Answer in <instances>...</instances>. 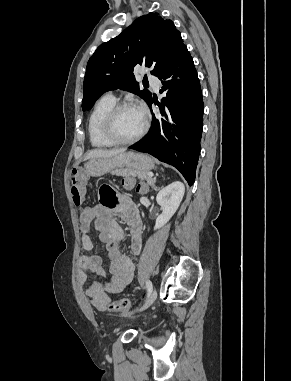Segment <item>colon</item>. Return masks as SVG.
<instances>
[{
  "instance_id": "colon-1",
  "label": "colon",
  "mask_w": 291,
  "mask_h": 381,
  "mask_svg": "<svg viewBox=\"0 0 291 381\" xmlns=\"http://www.w3.org/2000/svg\"><path fill=\"white\" fill-rule=\"evenodd\" d=\"M70 183H71V196L72 201L75 206L79 207L82 205L84 200V184L85 180L82 176L81 171L75 169L73 170L71 177H70ZM128 187H133V184L131 182L127 183ZM106 188H103L104 190ZM140 190H143V187H140ZM101 201L105 205H112L116 200L112 201L109 198H103ZM132 304L131 301L128 299H119L111 302L108 305V310L111 312H119V313H127L131 310Z\"/></svg>"
}]
</instances>
